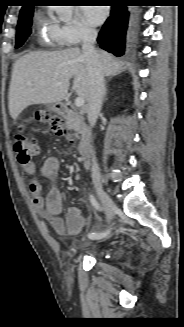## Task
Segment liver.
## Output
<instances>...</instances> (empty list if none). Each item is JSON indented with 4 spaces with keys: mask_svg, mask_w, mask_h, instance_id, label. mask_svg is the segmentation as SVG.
<instances>
[{
    "mask_svg": "<svg viewBox=\"0 0 184 327\" xmlns=\"http://www.w3.org/2000/svg\"><path fill=\"white\" fill-rule=\"evenodd\" d=\"M97 54L103 75H115L122 70V60L105 51ZM71 78L72 91L88 102L90 77L79 48L35 51L20 57L13 65L9 87L10 116L16 119L30 105L60 103L67 96Z\"/></svg>",
    "mask_w": 184,
    "mask_h": 327,
    "instance_id": "1",
    "label": "liver"
}]
</instances>
